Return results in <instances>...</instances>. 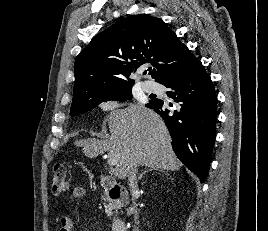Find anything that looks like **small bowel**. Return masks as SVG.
<instances>
[{
	"mask_svg": "<svg viewBox=\"0 0 268 231\" xmlns=\"http://www.w3.org/2000/svg\"><path fill=\"white\" fill-rule=\"evenodd\" d=\"M86 191L82 186H74L69 196L67 197V202L72 200H81L85 197ZM73 228V223L70 217L63 215L59 219V230L60 231H71Z\"/></svg>",
	"mask_w": 268,
	"mask_h": 231,
	"instance_id": "c3829d8e",
	"label": "small bowel"
}]
</instances>
